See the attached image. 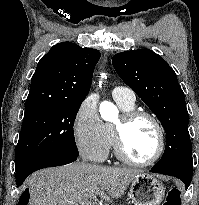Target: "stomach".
<instances>
[{
  "instance_id": "1",
  "label": "stomach",
  "mask_w": 199,
  "mask_h": 205,
  "mask_svg": "<svg viewBox=\"0 0 199 205\" xmlns=\"http://www.w3.org/2000/svg\"><path fill=\"white\" fill-rule=\"evenodd\" d=\"M164 196L163 184L149 174L140 173L131 181L129 197L134 205H159Z\"/></svg>"
}]
</instances>
